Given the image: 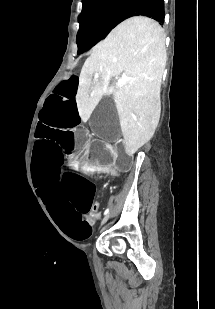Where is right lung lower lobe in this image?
Returning <instances> with one entry per match:
<instances>
[{
    "label": "right lung lower lobe",
    "mask_w": 215,
    "mask_h": 309,
    "mask_svg": "<svg viewBox=\"0 0 215 309\" xmlns=\"http://www.w3.org/2000/svg\"><path fill=\"white\" fill-rule=\"evenodd\" d=\"M133 16H147L162 24L165 16L164 0H130L116 20L115 26Z\"/></svg>",
    "instance_id": "right-lung-lower-lobe-1"
}]
</instances>
